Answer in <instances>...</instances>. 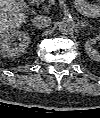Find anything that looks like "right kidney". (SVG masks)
Here are the masks:
<instances>
[{
  "instance_id": "1",
  "label": "right kidney",
  "mask_w": 100,
  "mask_h": 118,
  "mask_svg": "<svg viewBox=\"0 0 100 118\" xmlns=\"http://www.w3.org/2000/svg\"><path fill=\"white\" fill-rule=\"evenodd\" d=\"M19 40L20 43H13L12 41ZM30 37L26 32L13 30L0 36V53L4 57H15L22 54L29 46Z\"/></svg>"
}]
</instances>
